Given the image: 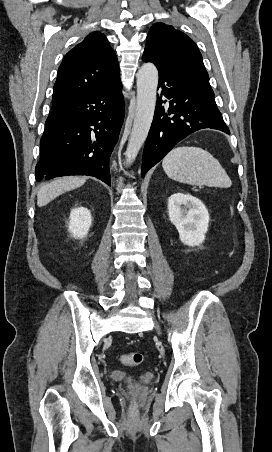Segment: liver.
Masks as SVG:
<instances>
[{"label": "liver", "mask_w": 272, "mask_h": 452, "mask_svg": "<svg viewBox=\"0 0 272 452\" xmlns=\"http://www.w3.org/2000/svg\"><path fill=\"white\" fill-rule=\"evenodd\" d=\"M85 181L86 177L66 176L42 185L37 193L38 207L45 206L57 196L82 186Z\"/></svg>", "instance_id": "1"}]
</instances>
